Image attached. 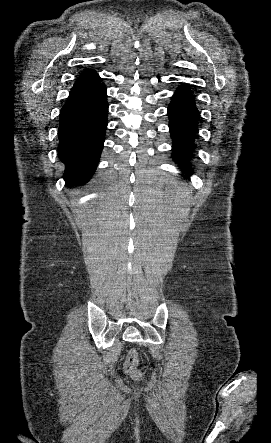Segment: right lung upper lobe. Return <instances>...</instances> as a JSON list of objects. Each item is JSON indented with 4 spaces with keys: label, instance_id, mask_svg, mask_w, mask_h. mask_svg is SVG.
<instances>
[{
    "label": "right lung upper lobe",
    "instance_id": "1",
    "mask_svg": "<svg viewBox=\"0 0 271 443\" xmlns=\"http://www.w3.org/2000/svg\"><path fill=\"white\" fill-rule=\"evenodd\" d=\"M98 79H100V78L95 70H85L79 75L76 82H87V81H94V80H98Z\"/></svg>",
    "mask_w": 271,
    "mask_h": 443
}]
</instances>
